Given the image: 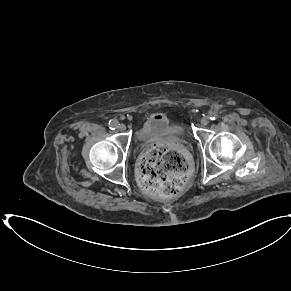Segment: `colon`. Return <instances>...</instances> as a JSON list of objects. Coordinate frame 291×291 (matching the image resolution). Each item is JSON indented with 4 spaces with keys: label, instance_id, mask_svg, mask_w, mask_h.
Listing matches in <instances>:
<instances>
[{
    "label": "colon",
    "instance_id": "obj_1",
    "mask_svg": "<svg viewBox=\"0 0 291 291\" xmlns=\"http://www.w3.org/2000/svg\"><path fill=\"white\" fill-rule=\"evenodd\" d=\"M190 165L185 155L174 146L148 148L140 162L141 187L155 197H170L187 184Z\"/></svg>",
    "mask_w": 291,
    "mask_h": 291
}]
</instances>
